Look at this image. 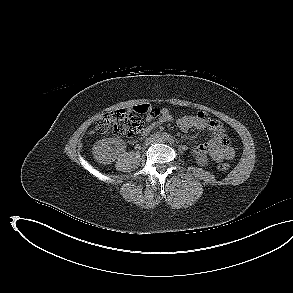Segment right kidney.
Returning <instances> with one entry per match:
<instances>
[{
  "label": "right kidney",
  "instance_id": "ca27d5eb",
  "mask_svg": "<svg viewBox=\"0 0 293 293\" xmlns=\"http://www.w3.org/2000/svg\"><path fill=\"white\" fill-rule=\"evenodd\" d=\"M125 148L124 142L116 138H106L96 142L92 148L94 159L100 164H111L116 160V152Z\"/></svg>",
  "mask_w": 293,
  "mask_h": 293
}]
</instances>
